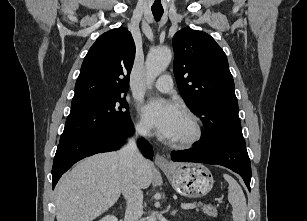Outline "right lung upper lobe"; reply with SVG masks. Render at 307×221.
<instances>
[{
    "label": "right lung upper lobe",
    "instance_id": "cb5924a9",
    "mask_svg": "<svg viewBox=\"0 0 307 221\" xmlns=\"http://www.w3.org/2000/svg\"><path fill=\"white\" fill-rule=\"evenodd\" d=\"M135 51L132 35L125 28L98 37L82 63L72 103L126 93Z\"/></svg>",
    "mask_w": 307,
    "mask_h": 221
}]
</instances>
